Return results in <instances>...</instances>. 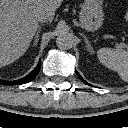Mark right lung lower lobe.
Returning <instances> with one entry per match:
<instances>
[{
	"mask_svg": "<svg viewBox=\"0 0 128 128\" xmlns=\"http://www.w3.org/2000/svg\"><path fill=\"white\" fill-rule=\"evenodd\" d=\"M40 67H41V62H39L37 67L30 74L25 76L24 78L19 79V80H15V81L0 80V84H4V85H18V84L28 83V82L32 81L38 75V73L40 71Z\"/></svg>",
	"mask_w": 128,
	"mask_h": 128,
	"instance_id": "98d812e1",
	"label": "right lung lower lobe"
}]
</instances>
